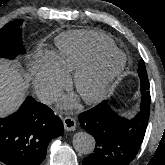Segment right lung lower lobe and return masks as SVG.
Listing matches in <instances>:
<instances>
[{"instance_id": "obj_1", "label": "right lung lower lobe", "mask_w": 165, "mask_h": 165, "mask_svg": "<svg viewBox=\"0 0 165 165\" xmlns=\"http://www.w3.org/2000/svg\"><path fill=\"white\" fill-rule=\"evenodd\" d=\"M63 133L53 111L32 97L19 110L0 118V161L8 165H40L51 139Z\"/></svg>"}]
</instances>
